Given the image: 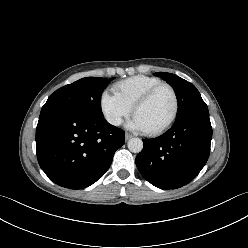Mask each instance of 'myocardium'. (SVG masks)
I'll return each instance as SVG.
<instances>
[{
    "mask_svg": "<svg viewBox=\"0 0 248 248\" xmlns=\"http://www.w3.org/2000/svg\"><path fill=\"white\" fill-rule=\"evenodd\" d=\"M162 88H167L170 90L172 96H173V100H174V108H173V112L170 116V118L160 127L153 129V130H145V133L150 135V136H156L159 135L163 132H165L167 129H169L173 123L175 122L177 116H178V112H179V97L177 94V91L175 90V88L168 84V83H159L157 85H155L154 87H152L151 89H149L147 92H145L133 105L132 111L133 114L135 115L137 110L142 107L143 105H145L160 89Z\"/></svg>",
    "mask_w": 248,
    "mask_h": 248,
    "instance_id": "myocardium-1",
    "label": "myocardium"
}]
</instances>
